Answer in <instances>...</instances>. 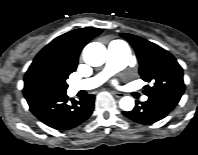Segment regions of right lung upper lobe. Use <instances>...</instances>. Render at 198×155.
I'll list each match as a JSON object with an SVG mask.
<instances>
[{
  "label": "right lung upper lobe",
  "instance_id": "cb5924a9",
  "mask_svg": "<svg viewBox=\"0 0 198 155\" xmlns=\"http://www.w3.org/2000/svg\"><path fill=\"white\" fill-rule=\"evenodd\" d=\"M101 32L102 29L98 28H80L55 38L45 46L26 72L23 90L25 98L37 95L31 85V77L37 70L52 67L70 72L75 71L82 48Z\"/></svg>",
  "mask_w": 198,
  "mask_h": 155
}]
</instances>
